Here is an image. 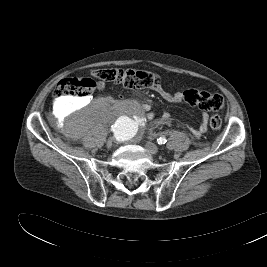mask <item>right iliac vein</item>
<instances>
[{
	"label": "right iliac vein",
	"mask_w": 267,
	"mask_h": 267,
	"mask_svg": "<svg viewBox=\"0 0 267 267\" xmlns=\"http://www.w3.org/2000/svg\"><path fill=\"white\" fill-rule=\"evenodd\" d=\"M113 141H114L113 138L108 139L107 142H106V146H107L108 148H111L112 145H113Z\"/></svg>",
	"instance_id": "right-iliac-vein-1"
}]
</instances>
